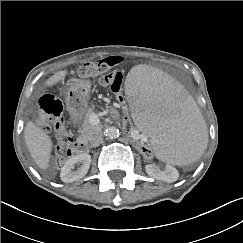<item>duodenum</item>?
Returning a JSON list of instances; mask_svg holds the SVG:
<instances>
[{
  "label": "duodenum",
  "mask_w": 243,
  "mask_h": 243,
  "mask_svg": "<svg viewBox=\"0 0 243 243\" xmlns=\"http://www.w3.org/2000/svg\"><path fill=\"white\" fill-rule=\"evenodd\" d=\"M88 149V144L84 139H78L75 143V150L78 153H84Z\"/></svg>",
  "instance_id": "1"
}]
</instances>
